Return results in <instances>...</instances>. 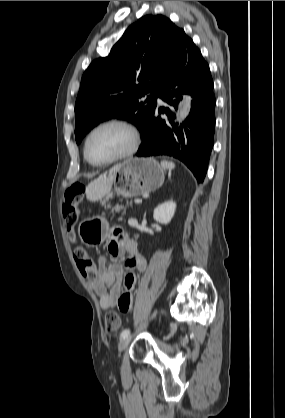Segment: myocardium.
<instances>
[{
    "instance_id": "1",
    "label": "myocardium",
    "mask_w": 285,
    "mask_h": 418,
    "mask_svg": "<svg viewBox=\"0 0 285 418\" xmlns=\"http://www.w3.org/2000/svg\"><path fill=\"white\" fill-rule=\"evenodd\" d=\"M110 125L120 126V127L124 128L125 130H127L129 132V134L131 136L130 146L125 152H123V153H121V154H119L115 157H112V158H110L106 161H103V162H94L89 158V156L87 154V145H88L89 139L92 136V134L95 133L97 130H99L102 127H106V126H110ZM138 144H139V134H138V131L135 128V126H133L131 123H129L126 120L118 119V118H112V119H107V120H104V121L96 124L94 127H92L89 130V132L87 133V135L84 139V142H83V154H84V158L91 165H93V166H105V165H109V164H112L114 162H117V161H120V160L131 157L137 151Z\"/></svg>"
}]
</instances>
